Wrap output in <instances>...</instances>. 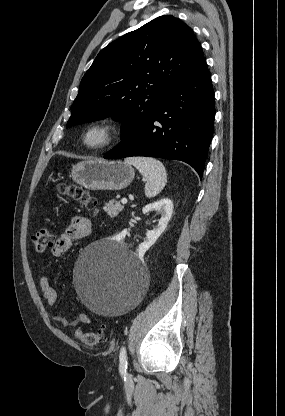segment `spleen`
<instances>
[{"instance_id": "1", "label": "spleen", "mask_w": 285, "mask_h": 416, "mask_svg": "<svg viewBox=\"0 0 285 416\" xmlns=\"http://www.w3.org/2000/svg\"><path fill=\"white\" fill-rule=\"evenodd\" d=\"M126 164L134 166L146 178L145 196L154 198L167 184L166 170L159 160L154 158H125Z\"/></svg>"}]
</instances>
